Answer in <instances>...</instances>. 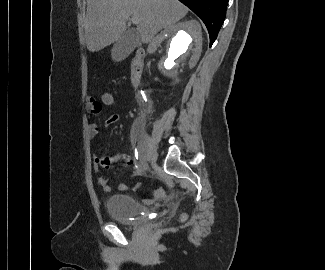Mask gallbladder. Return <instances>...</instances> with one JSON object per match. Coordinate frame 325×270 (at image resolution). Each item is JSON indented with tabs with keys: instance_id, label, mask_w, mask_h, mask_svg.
<instances>
[{
	"instance_id": "gallbladder-1",
	"label": "gallbladder",
	"mask_w": 325,
	"mask_h": 270,
	"mask_svg": "<svg viewBox=\"0 0 325 270\" xmlns=\"http://www.w3.org/2000/svg\"><path fill=\"white\" fill-rule=\"evenodd\" d=\"M140 43V37L136 30H127L114 44L111 55L113 60L121 61L126 58Z\"/></svg>"
}]
</instances>
